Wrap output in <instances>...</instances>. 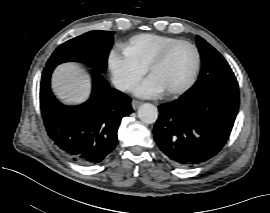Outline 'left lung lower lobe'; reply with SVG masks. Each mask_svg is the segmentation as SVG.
I'll return each instance as SVG.
<instances>
[{"mask_svg": "<svg viewBox=\"0 0 270 213\" xmlns=\"http://www.w3.org/2000/svg\"><path fill=\"white\" fill-rule=\"evenodd\" d=\"M154 139L178 167H192L216 155L229 138L239 109L237 80L229 77L194 95L162 104Z\"/></svg>", "mask_w": 270, "mask_h": 213, "instance_id": "left-lung-lower-lobe-1", "label": "left lung lower lobe"}]
</instances>
